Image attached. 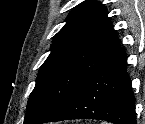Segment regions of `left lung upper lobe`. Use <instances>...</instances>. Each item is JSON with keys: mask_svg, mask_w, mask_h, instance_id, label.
<instances>
[{"mask_svg": "<svg viewBox=\"0 0 145 124\" xmlns=\"http://www.w3.org/2000/svg\"><path fill=\"white\" fill-rule=\"evenodd\" d=\"M119 49L104 5L79 4L54 37L30 94L24 124H42L51 117Z\"/></svg>", "mask_w": 145, "mask_h": 124, "instance_id": "left-lung-upper-lobe-1", "label": "left lung upper lobe"}]
</instances>
